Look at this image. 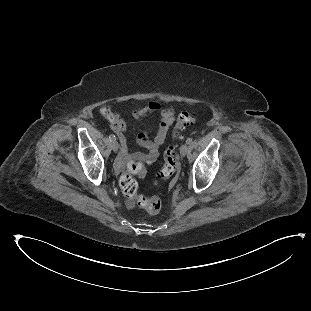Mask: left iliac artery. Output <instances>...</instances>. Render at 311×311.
Here are the masks:
<instances>
[{"instance_id":"left-iliac-artery-1","label":"left iliac artery","mask_w":311,"mask_h":311,"mask_svg":"<svg viewBox=\"0 0 311 311\" xmlns=\"http://www.w3.org/2000/svg\"><path fill=\"white\" fill-rule=\"evenodd\" d=\"M186 143L187 144H191L192 143V138H187Z\"/></svg>"}]
</instances>
